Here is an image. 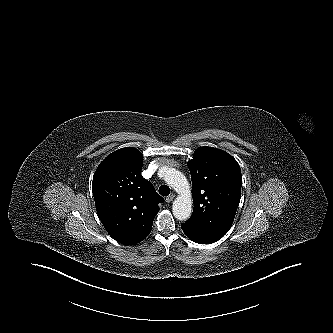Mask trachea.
I'll return each instance as SVG.
<instances>
[{
  "label": "trachea",
  "mask_w": 333,
  "mask_h": 333,
  "mask_svg": "<svg viewBox=\"0 0 333 333\" xmlns=\"http://www.w3.org/2000/svg\"><path fill=\"white\" fill-rule=\"evenodd\" d=\"M159 193L162 196H168L170 194V188L167 185H162L159 187Z\"/></svg>",
  "instance_id": "3493384b"
}]
</instances>
